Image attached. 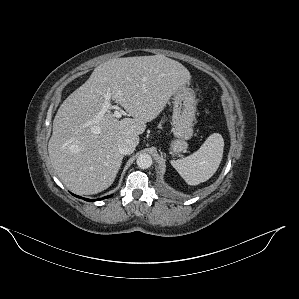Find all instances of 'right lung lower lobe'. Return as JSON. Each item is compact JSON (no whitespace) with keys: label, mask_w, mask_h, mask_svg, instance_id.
Here are the masks:
<instances>
[{"label":"right lung lower lobe","mask_w":299,"mask_h":299,"mask_svg":"<svg viewBox=\"0 0 299 299\" xmlns=\"http://www.w3.org/2000/svg\"><path fill=\"white\" fill-rule=\"evenodd\" d=\"M74 195V194H73ZM74 196H76V197H78V198H81L80 196H77V195H74ZM108 197H111V195L110 196H106V197H104V198H108ZM103 198V199H104ZM84 200H86V201H95V200H90V199H86V198H83ZM97 200H101V199H97Z\"/></svg>","instance_id":"right-lung-lower-lobe-1"}]
</instances>
